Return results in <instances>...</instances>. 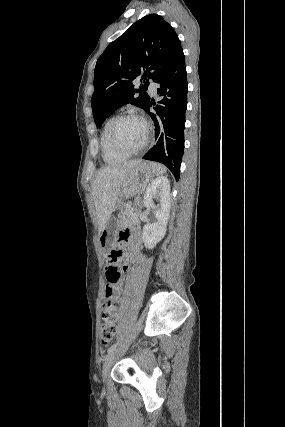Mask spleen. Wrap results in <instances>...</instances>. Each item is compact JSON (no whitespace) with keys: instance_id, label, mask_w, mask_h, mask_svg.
I'll return each instance as SVG.
<instances>
[{"instance_id":"spleen-1","label":"spleen","mask_w":285,"mask_h":427,"mask_svg":"<svg viewBox=\"0 0 285 427\" xmlns=\"http://www.w3.org/2000/svg\"><path fill=\"white\" fill-rule=\"evenodd\" d=\"M151 167H152L153 173L156 176H160L166 173V168L159 163L151 162Z\"/></svg>"}]
</instances>
